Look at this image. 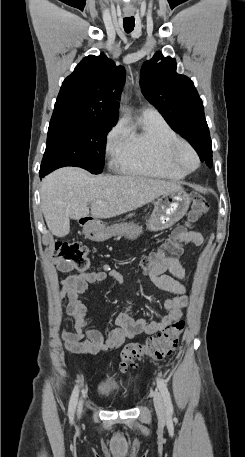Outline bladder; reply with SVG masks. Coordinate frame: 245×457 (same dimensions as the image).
Segmentation results:
<instances>
[{"label": "bladder", "mask_w": 245, "mask_h": 457, "mask_svg": "<svg viewBox=\"0 0 245 457\" xmlns=\"http://www.w3.org/2000/svg\"><path fill=\"white\" fill-rule=\"evenodd\" d=\"M118 382L111 377H103L99 381V390L101 394H110L117 387Z\"/></svg>", "instance_id": "31cf9c89"}]
</instances>
